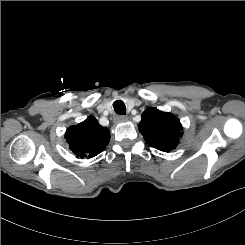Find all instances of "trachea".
Masks as SVG:
<instances>
[{"label":"trachea","mask_w":245,"mask_h":245,"mask_svg":"<svg viewBox=\"0 0 245 245\" xmlns=\"http://www.w3.org/2000/svg\"><path fill=\"white\" fill-rule=\"evenodd\" d=\"M114 110L119 115H125L126 114V107L123 101L117 100L113 103Z\"/></svg>","instance_id":"3493384b"}]
</instances>
